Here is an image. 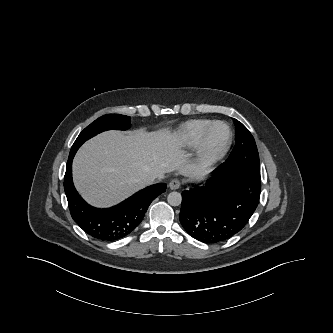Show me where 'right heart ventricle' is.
<instances>
[{
  "label": "right heart ventricle",
  "mask_w": 333,
  "mask_h": 333,
  "mask_svg": "<svg viewBox=\"0 0 333 333\" xmlns=\"http://www.w3.org/2000/svg\"><path fill=\"white\" fill-rule=\"evenodd\" d=\"M212 123L209 119L188 120L178 127L175 135L182 144L197 146Z\"/></svg>",
  "instance_id": "1"
}]
</instances>
